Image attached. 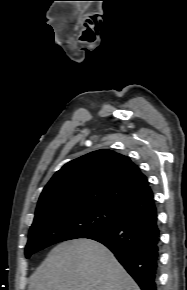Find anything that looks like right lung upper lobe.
I'll return each mask as SVG.
<instances>
[{
	"label": "right lung upper lobe",
	"instance_id": "cb5924a9",
	"mask_svg": "<svg viewBox=\"0 0 187 290\" xmlns=\"http://www.w3.org/2000/svg\"><path fill=\"white\" fill-rule=\"evenodd\" d=\"M100 205L130 218L156 211L146 176L124 155L97 150L65 164L44 187L35 219Z\"/></svg>",
	"mask_w": 187,
	"mask_h": 290
}]
</instances>
